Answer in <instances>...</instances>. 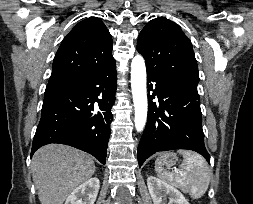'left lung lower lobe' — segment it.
Returning <instances> with one entry per match:
<instances>
[{
    "label": "left lung lower lobe",
    "instance_id": "1",
    "mask_svg": "<svg viewBox=\"0 0 253 204\" xmlns=\"http://www.w3.org/2000/svg\"><path fill=\"white\" fill-rule=\"evenodd\" d=\"M155 82V89L153 84ZM149 111L147 124L138 146L139 167L158 151L189 149L210 163L204 146L202 114L197 89L183 87L147 73ZM153 90L152 96L150 91ZM158 97V104L152 100Z\"/></svg>",
    "mask_w": 253,
    "mask_h": 204
}]
</instances>
